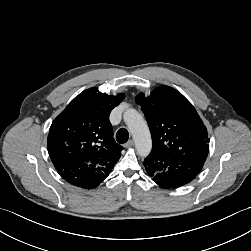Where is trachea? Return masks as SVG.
<instances>
[{
	"label": "trachea",
	"instance_id": "3493384b",
	"mask_svg": "<svg viewBox=\"0 0 251 251\" xmlns=\"http://www.w3.org/2000/svg\"><path fill=\"white\" fill-rule=\"evenodd\" d=\"M128 138H129V133H128L127 129L121 128L117 131L116 140L118 143L124 144L128 141Z\"/></svg>",
	"mask_w": 251,
	"mask_h": 251
}]
</instances>
